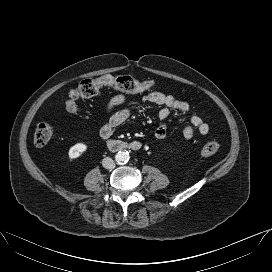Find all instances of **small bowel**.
I'll list each match as a JSON object with an SVG mask.
<instances>
[{
	"instance_id": "c3829d8e",
	"label": "small bowel",
	"mask_w": 272,
	"mask_h": 272,
	"mask_svg": "<svg viewBox=\"0 0 272 272\" xmlns=\"http://www.w3.org/2000/svg\"><path fill=\"white\" fill-rule=\"evenodd\" d=\"M145 100L160 106L156 112V117L160 121L155 129L154 135L157 139H163L167 134L166 121L173 110L189 117V123L183 128V136L186 139H193L197 136H205L209 132L208 124L198 114L192 113L188 102L180 100L172 95L161 92H149L145 95ZM133 108L127 105V99L118 95L110 99L107 104V120L100 129V136L107 140L111 137L113 130L126 122L132 115Z\"/></svg>"
}]
</instances>
